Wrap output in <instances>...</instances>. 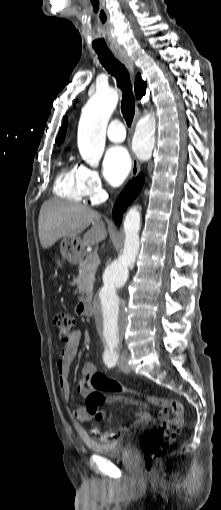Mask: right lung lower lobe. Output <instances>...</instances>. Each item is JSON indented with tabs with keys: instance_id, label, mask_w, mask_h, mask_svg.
<instances>
[{
	"instance_id": "obj_1",
	"label": "right lung lower lobe",
	"mask_w": 221,
	"mask_h": 510,
	"mask_svg": "<svg viewBox=\"0 0 221 510\" xmlns=\"http://www.w3.org/2000/svg\"><path fill=\"white\" fill-rule=\"evenodd\" d=\"M144 183V176L140 174L136 179L128 183L124 190L119 195L113 209V214L116 221L120 224L122 221V214L127 206L137 197L142 189Z\"/></svg>"
}]
</instances>
